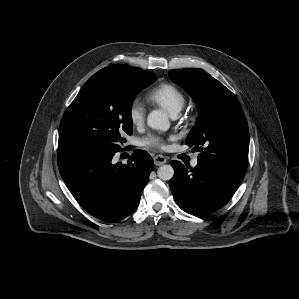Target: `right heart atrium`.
Segmentation results:
<instances>
[{"label": "right heart atrium", "instance_id": "d8ad5b80", "mask_svg": "<svg viewBox=\"0 0 299 299\" xmlns=\"http://www.w3.org/2000/svg\"><path fill=\"white\" fill-rule=\"evenodd\" d=\"M128 119L133 127H142L145 122L146 109L143 103L135 98L131 100L127 109Z\"/></svg>", "mask_w": 299, "mask_h": 299}]
</instances>
